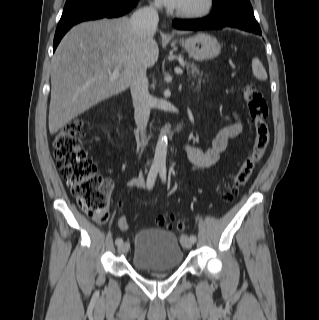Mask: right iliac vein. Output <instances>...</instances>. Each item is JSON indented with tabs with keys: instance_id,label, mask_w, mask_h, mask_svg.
Instances as JSON below:
<instances>
[{
	"instance_id": "right-iliac-vein-1",
	"label": "right iliac vein",
	"mask_w": 319,
	"mask_h": 320,
	"mask_svg": "<svg viewBox=\"0 0 319 320\" xmlns=\"http://www.w3.org/2000/svg\"><path fill=\"white\" fill-rule=\"evenodd\" d=\"M129 249V243L128 242H125V243H122L119 247H118V252L119 253H126Z\"/></svg>"
}]
</instances>
